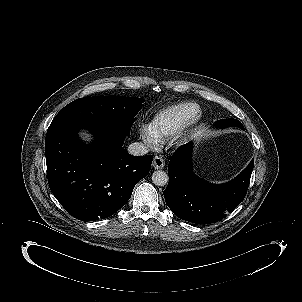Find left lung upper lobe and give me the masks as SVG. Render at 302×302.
I'll return each instance as SVG.
<instances>
[{
    "label": "left lung upper lobe",
    "mask_w": 302,
    "mask_h": 302,
    "mask_svg": "<svg viewBox=\"0 0 302 302\" xmlns=\"http://www.w3.org/2000/svg\"><path fill=\"white\" fill-rule=\"evenodd\" d=\"M216 126H218V127L233 126V127H239V128L244 129L242 123L239 122L236 119H221V120H218L216 122Z\"/></svg>",
    "instance_id": "5c2ea615"
}]
</instances>
